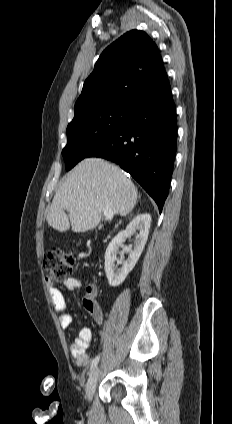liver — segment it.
I'll return each mask as SVG.
<instances>
[{"instance_id":"obj_1","label":"liver","mask_w":232,"mask_h":424,"mask_svg":"<svg viewBox=\"0 0 232 424\" xmlns=\"http://www.w3.org/2000/svg\"><path fill=\"white\" fill-rule=\"evenodd\" d=\"M137 201V189L124 171L101 158H86L64 178L47 214L59 232H85L101 221L102 211L126 216ZM68 212V215L66 212Z\"/></svg>"}]
</instances>
